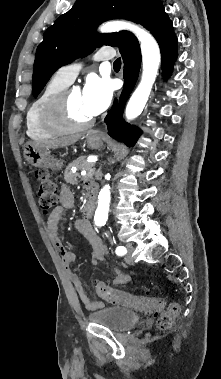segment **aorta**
Returning <instances> with one entry per match:
<instances>
[{
  "label": "aorta",
  "mask_w": 221,
  "mask_h": 379,
  "mask_svg": "<svg viewBox=\"0 0 221 379\" xmlns=\"http://www.w3.org/2000/svg\"><path fill=\"white\" fill-rule=\"evenodd\" d=\"M132 31L140 41L143 72L142 78L130 97L126 106L125 115L128 120L139 116L149 98L152 86L160 64V49L154 37L141 27L126 21H111L103 24L99 31L102 33L116 32L120 30ZM111 193L110 186L105 185L98 196V207L95 212L94 221L96 225H104L108 219Z\"/></svg>",
  "instance_id": "762f6f07"
}]
</instances>
